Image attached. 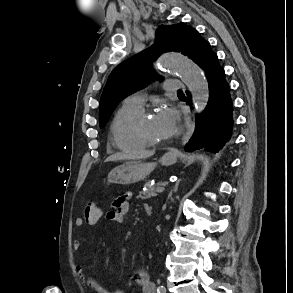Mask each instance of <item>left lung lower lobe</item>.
Wrapping results in <instances>:
<instances>
[{
  "instance_id": "obj_1",
  "label": "left lung lower lobe",
  "mask_w": 293,
  "mask_h": 293,
  "mask_svg": "<svg viewBox=\"0 0 293 293\" xmlns=\"http://www.w3.org/2000/svg\"><path fill=\"white\" fill-rule=\"evenodd\" d=\"M206 75L209 86V100L205 110L195 117V131L186 145L187 151L204 148L206 151L218 152L230 139L233 119V104L230 88L225 80V72L219 65L217 55L206 42L197 61ZM192 105L189 92L183 97Z\"/></svg>"
}]
</instances>
